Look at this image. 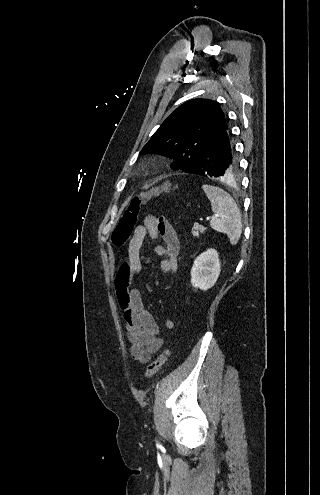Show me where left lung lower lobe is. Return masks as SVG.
I'll use <instances>...</instances> for the list:
<instances>
[{
  "mask_svg": "<svg viewBox=\"0 0 320 495\" xmlns=\"http://www.w3.org/2000/svg\"><path fill=\"white\" fill-rule=\"evenodd\" d=\"M238 170V159L228 127L207 147L197 161L183 172L204 177L228 178Z\"/></svg>",
  "mask_w": 320,
  "mask_h": 495,
  "instance_id": "left-lung-lower-lobe-1",
  "label": "left lung lower lobe"
}]
</instances>
